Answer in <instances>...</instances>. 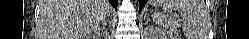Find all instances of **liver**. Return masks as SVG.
Listing matches in <instances>:
<instances>
[{"instance_id": "6515ba94", "label": "liver", "mask_w": 249, "mask_h": 39, "mask_svg": "<svg viewBox=\"0 0 249 39\" xmlns=\"http://www.w3.org/2000/svg\"><path fill=\"white\" fill-rule=\"evenodd\" d=\"M110 10L108 0H40L41 39H89Z\"/></svg>"}]
</instances>
